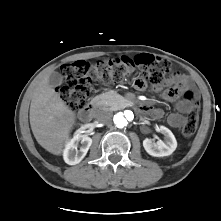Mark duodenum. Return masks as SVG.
<instances>
[{
  "label": "duodenum",
  "instance_id": "duodenum-1",
  "mask_svg": "<svg viewBox=\"0 0 221 221\" xmlns=\"http://www.w3.org/2000/svg\"><path fill=\"white\" fill-rule=\"evenodd\" d=\"M99 106V99L97 97L93 98L89 104V107L83 111L80 112L79 118L86 122L89 121L94 113V111L98 108ZM140 111L143 110L142 107H138Z\"/></svg>",
  "mask_w": 221,
  "mask_h": 221
}]
</instances>
